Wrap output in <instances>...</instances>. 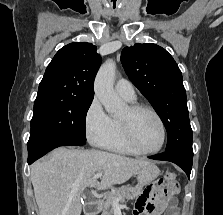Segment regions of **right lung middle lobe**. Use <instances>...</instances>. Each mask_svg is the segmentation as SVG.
I'll use <instances>...</instances> for the list:
<instances>
[{"label":"right lung middle lobe","mask_w":223,"mask_h":215,"mask_svg":"<svg viewBox=\"0 0 223 215\" xmlns=\"http://www.w3.org/2000/svg\"><path fill=\"white\" fill-rule=\"evenodd\" d=\"M92 100L37 96L28 149L63 140L86 141V114Z\"/></svg>","instance_id":"dd1d6c3e"}]
</instances>
